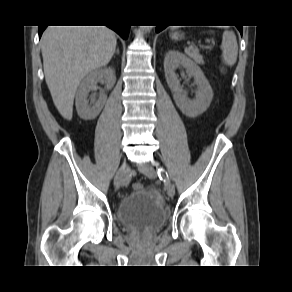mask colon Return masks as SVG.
I'll use <instances>...</instances> for the list:
<instances>
[{"mask_svg": "<svg viewBox=\"0 0 292 292\" xmlns=\"http://www.w3.org/2000/svg\"><path fill=\"white\" fill-rule=\"evenodd\" d=\"M132 188H133V190L136 191V190H140V189H142L143 186H142V184L136 182V183H133Z\"/></svg>", "mask_w": 292, "mask_h": 292, "instance_id": "obj_1", "label": "colon"}]
</instances>
